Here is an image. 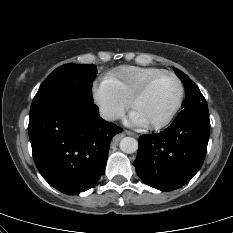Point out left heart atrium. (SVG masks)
Wrapping results in <instances>:
<instances>
[{
	"label": "left heart atrium",
	"mask_w": 233,
	"mask_h": 233,
	"mask_svg": "<svg viewBox=\"0 0 233 233\" xmlns=\"http://www.w3.org/2000/svg\"><path fill=\"white\" fill-rule=\"evenodd\" d=\"M126 123L132 126L143 127L146 125L145 121L136 113L131 112Z\"/></svg>",
	"instance_id": "left-heart-atrium-1"
}]
</instances>
